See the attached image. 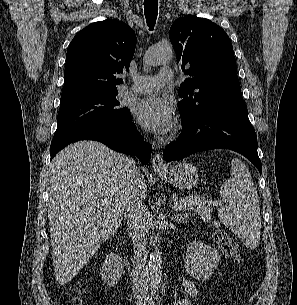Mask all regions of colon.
I'll list each match as a JSON object with an SVG mask.
<instances>
[{
	"label": "colon",
	"mask_w": 297,
	"mask_h": 305,
	"mask_svg": "<svg viewBox=\"0 0 297 305\" xmlns=\"http://www.w3.org/2000/svg\"><path fill=\"white\" fill-rule=\"evenodd\" d=\"M214 238L216 243L226 256L238 262L242 260L243 256L240 252L239 243L231 235H229L222 229H217L215 231ZM83 291L84 287L80 285L78 287V292L81 293ZM71 305H81L79 298H73Z\"/></svg>",
	"instance_id": "5ec220e1"
}]
</instances>
